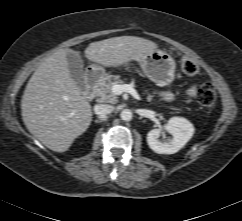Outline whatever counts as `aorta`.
<instances>
[{
  "mask_svg": "<svg viewBox=\"0 0 242 221\" xmlns=\"http://www.w3.org/2000/svg\"><path fill=\"white\" fill-rule=\"evenodd\" d=\"M120 117L123 121H130L133 117V114L131 112V110L129 109H124L122 110V112L120 113Z\"/></svg>",
  "mask_w": 242,
  "mask_h": 221,
  "instance_id": "aorta-1",
  "label": "aorta"
}]
</instances>
